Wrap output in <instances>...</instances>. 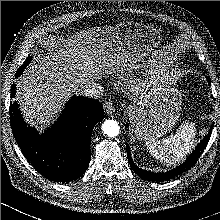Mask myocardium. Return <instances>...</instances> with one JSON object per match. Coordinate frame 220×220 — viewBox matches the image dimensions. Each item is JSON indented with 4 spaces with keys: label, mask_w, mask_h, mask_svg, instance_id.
<instances>
[{
    "label": "myocardium",
    "mask_w": 220,
    "mask_h": 220,
    "mask_svg": "<svg viewBox=\"0 0 220 220\" xmlns=\"http://www.w3.org/2000/svg\"><path fill=\"white\" fill-rule=\"evenodd\" d=\"M145 88V83H143L142 81H132L129 85V91L134 94L137 95L140 92H142Z\"/></svg>",
    "instance_id": "f54148a6"
}]
</instances>
